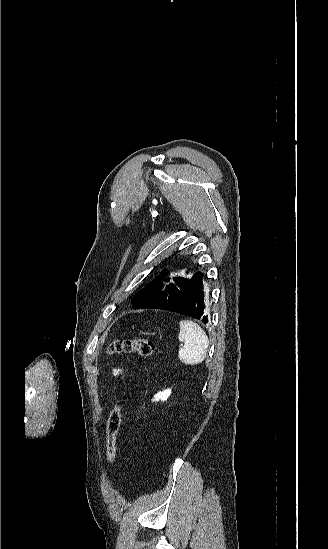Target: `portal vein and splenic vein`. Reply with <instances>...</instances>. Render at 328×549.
Here are the masks:
<instances>
[{"mask_svg": "<svg viewBox=\"0 0 328 549\" xmlns=\"http://www.w3.org/2000/svg\"><path fill=\"white\" fill-rule=\"evenodd\" d=\"M180 347H183V344H180Z\"/></svg>", "mask_w": 328, "mask_h": 549, "instance_id": "18ae733b", "label": "portal vein and splenic vein"}]
</instances>
